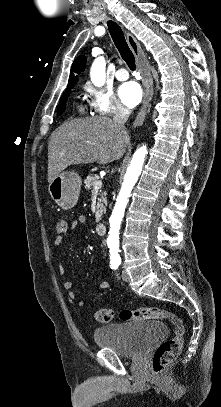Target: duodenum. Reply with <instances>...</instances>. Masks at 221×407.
<instances>
[{"mask_svg": "<svg viewBox=\"0 0 221 407\" xmlns=\"http://www.w3.org/2000/svg\"><path fill=\"white\" fill-rule=\"evenodd\" d=\"M96 232L98 235H103L106 232V225L104 223L96 224Z\"/></svg>", "mask_w": 221, "mask_h": 407, "instance_id": "obj_1", "label": "duodenum"}]
</instances>
